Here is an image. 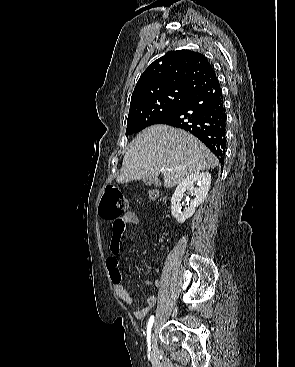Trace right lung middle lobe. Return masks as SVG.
<instances>
[{
    "mask_svg": "<svg viewBox=\"0 0 295 367\" xmlns=\"http://www.w3.org/2000/svg\"><path fill=\"white\" fill-rule=\"evenodd\" d=\"M191 94L169 90L139 99L130 104L126 136L156 124L175 111Z\"/></svg>",
    "mask_w": 295,
    "mask_h": 367,
    "instance_id": "dd1d6c3e",
    "label": "right lung middle lobe"
}]
</instances>
